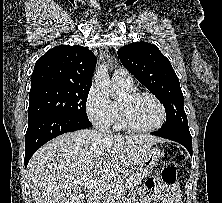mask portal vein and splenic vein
I'll use <instances>...</instances> for the list:
<instances>
[{"instance_id":"obj_1","label":"portal vein and splenic vein","mask_w":222,"mask_h":203,"mask_svg":"<svg viewBox=\"0 0 222 203\" xmlns=\"http://www.w3.org/2000/svg\"><path fill=\"white\" fill-rule=\"evenodd\" d=\"M80 184L85 186V187H89V188H93V189H102V190H114L119 188L118 184L115 183H106L104 181H93V180H89V179H83L80 181ZM119 194V192H118Z\"/></svg>"}]
</instances>
